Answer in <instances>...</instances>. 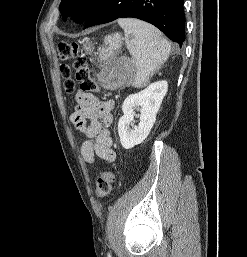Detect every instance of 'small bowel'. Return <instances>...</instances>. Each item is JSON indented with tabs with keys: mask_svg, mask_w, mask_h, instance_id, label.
<instances>
[{
	"mask_svg": "<svg viewBox=\"0 0 247 257\" xmlns=\"http://www.w3.org/2000/svg\"><path fill=\"white\" fill-rule=\"evenodd\" d=\"M77 105L70 120L87 139L81 147V155L87 163L98 157L106 163L115 160L110 126L113 121L114 102L102 101L91 93L78 91Z\"/></svg>",
	"mask_w": 247,
	"mask_h": 257,
	"instance_id": "small-bowel-1",
	"label": "small bowel"
}]
</instances>
